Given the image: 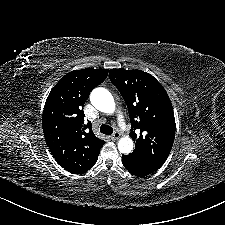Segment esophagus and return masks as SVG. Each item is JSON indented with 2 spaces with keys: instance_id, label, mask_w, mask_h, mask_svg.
I'll return each instance as SVG.
<instances>
[{
  "instance_id": "1",
  "label": "esophagus",
  "mask_w": 225,
  "mask_h": 225,
  "mask_svg": "<svg viewBox=\"0 0 225 225\" xmlns=\"http://www.w3.org/2000/svg\"><path fill=\"white\" fill-rule=\"evenodd\" d=\"M121 134L119 132H115L112 136L111 139L113 141L118 140L120 138Z\"/></svg>"
}]
</instances>
